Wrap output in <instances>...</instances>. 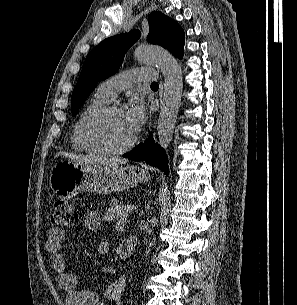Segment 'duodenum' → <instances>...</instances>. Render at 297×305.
<instances>
[{
    "mask_svg": "<svg viewBox=\"0 0 297 305\" xmlns=\"http://www.w3.org/2000/svg\"><path fill=\"white\" fill-rule=\"evenodd\" d=\"M125 247H126V250L130 253V254H133L136 250V244H135V241L132 239V238H129L126 240V243H125Z\"/></svg>",
    "mask_w": 297,
    "mask_h": 305,
    "instance_id": "1",
    "label": "duodenum"
}]
</instances>
